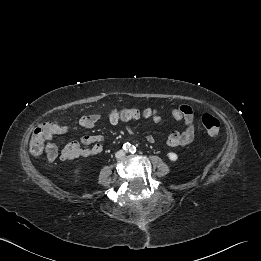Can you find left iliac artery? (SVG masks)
I'll use <instances>...</instances> for the list:
<instances>
[{"instance_id": "44dca946", "label": "left iliac artery", "mask_w": 261, "mask_h": 261, "mask_svg": "<svg viewBox=\"0 0 261 261\" xmlns=\"http://www.w3.org/2000/svg\"><path fill=\"white\" fill-rule=\"evenodd\" d=\"M130 151H131L132 153H135V152H136L135 146H133Z\"/></svg>"}]
</instances>
